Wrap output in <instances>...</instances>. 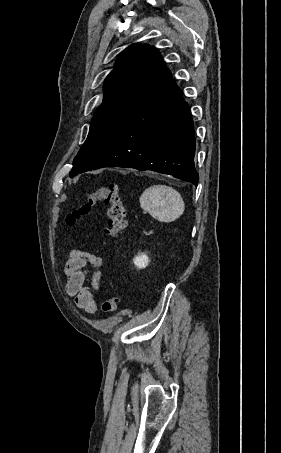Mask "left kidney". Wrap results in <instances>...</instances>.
<instances>
[{
  "instance_id": "left-kidney-1",
  "label": "left kidney",
  "mask_w": 281,
  "mask_h": 453,
  "mask_svg": "<svg viewBox=\"0 0 281 453\" xmlns=\"http://www.w3.org/2000/svg\"><path fill=\"white\" fill-rule=\"evenodd\" d=\"M133 263L134 265H136V267H138V269H144V267H147L149 259L147 255H144V253H140L138 257H135Z\"/></svg>"
}]
</instances>
